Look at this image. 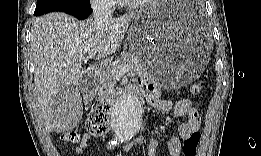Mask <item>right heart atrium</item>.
<instances>
[{
	"label": "right heart atrium",
	"mask_w": 261,
	"mask_h": 156,
	"mask_svg": "<svg viewBox=\"0 0 261 156\" xmlns=\"http://www.w3.org/2000/svg\"><path fill=\"white\" fill-rule=\"evenodd\" d=\"M114 5L115 3L112 0L100 1L96 3L97 7L104 8V9H113Z\"/></svg>",
	"instance_id": "obj_1"
}]
</instances>
